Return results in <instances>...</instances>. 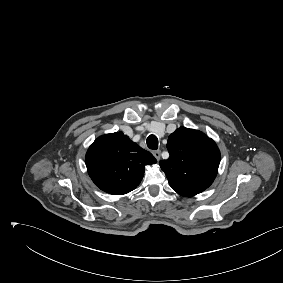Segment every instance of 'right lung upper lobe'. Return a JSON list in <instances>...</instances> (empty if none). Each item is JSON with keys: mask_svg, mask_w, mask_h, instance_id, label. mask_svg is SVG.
<instances>
[{"mask_svg": "<svg viewBox=\"0 0 283 283\" xmlns=\"http://www.w3.org/2000/svg\"><path fill=\"white\" fill-rule=\"evenodd\" d=\"M85 161L92 181L113 195L134 190L144 176L145 166L157 162L122 132L98 137L89 147Z\"/></svg>", "mask_w": 283, "mask_h": 283, "instance_id": "cb5924a9", "label": "right lung upper lobe"}]
</instances>
